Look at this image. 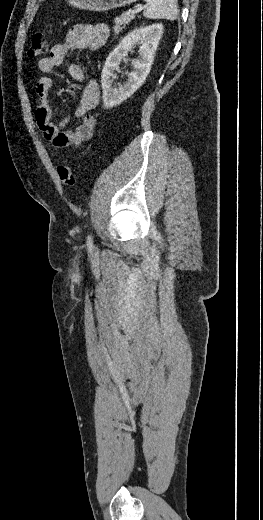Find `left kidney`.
Here are the masks:
<instances>
[{"label": "left kidney", "mask_w": 263, "mask_h": 520, "mask_svg": "<svg viewBox=\"0 0 263 520\" xmlns=\"http://www.w3.org/2000/svg\"><path fill=\"white\" fill-rule=\"evenodd\" d=\"M163 25L154 24L128 33L120 44L109 54L104 64L101 83L103 102L106 108H113L129 98L146 80L153 64ZM135 45H141L140 58L132 60L134 71L128 74L127 82L112 87L113 76L120 62Z\"/></svg>", "instance_id": "1"}]
</instances>
